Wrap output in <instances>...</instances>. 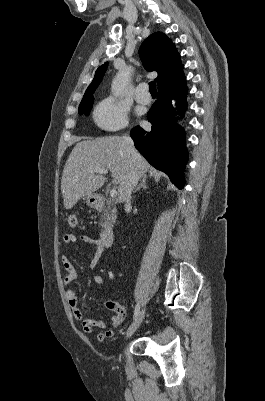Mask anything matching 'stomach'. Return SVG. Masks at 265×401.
Listing matches in <instances>:
<instances>
[{"label": "stomach", "mask_w": 265, "mask_h": 401, "mask_svg": "<svg viewBox=\"0 0 265 401\" xmlns=\"http://www.w3.org/2000/svg\"><path fill=\"white\" fill-rule=\"evenodd\" d=\"M93 196V194H92ZM92 196H86V203L88 207H95L97 201L96 198H92Z\"/></svg>", "instance_id": "0dacf381"}]
</instances>
